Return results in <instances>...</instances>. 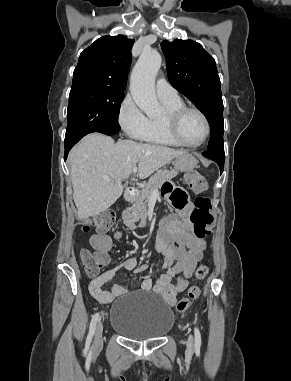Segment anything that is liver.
<instances>
[{"label":"liver","instance_id":"1","mask_svg":"<svg viewBox=\"0 0 291 381\" xmlns=\"http://www.w3.org/2000/svg\"><path fill=\"white\" fill-rule=\"evenodd\" d=\"M184 153L187 152L132 140L115 143L100 133L86 135L69 153L78 218L88 219L113 205L122 195L121 181L129 177L137 164L139 178L145 179Z\"/></svg>","mask_w":291,"mask_h":381}]
</instances>
